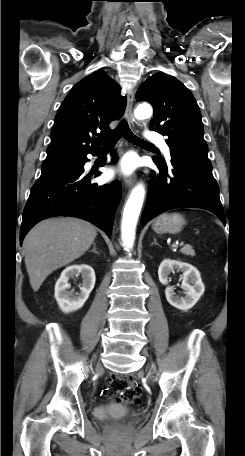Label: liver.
Returning a JSON list of instances; mask_svg holds the SVG:
<instances>
[{
    "mask_svg": "<svg viewBox=\"0 0 245 456\" xmlns=\"http://www.w3.org/2000/svg\"><path fill=\"white\" fill-rule=\"evenodd\" d=\"M97 235L89 222L60 217L41 221L24 239L25 265L33 291L56 269L81 257Z\"/></svg>",
    "mask_w": 245,
    "mask_h": 456,
    "instance_id": "obj_1",
    "label": "liver"
}]
</instances>
